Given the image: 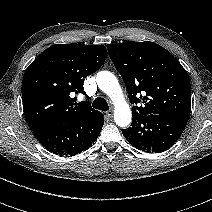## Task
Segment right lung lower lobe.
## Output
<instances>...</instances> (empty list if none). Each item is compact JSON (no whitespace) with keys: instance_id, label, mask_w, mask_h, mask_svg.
Returning <instances> with one entry per match:
<instances>
[{"instance_id":"obj_1","label":"right lung lower lobe","mask_w":212,"mask_h":212,"mask_svg":"<svg viewBox=\"0 0 212 212\" xmlns=\"http://www.w3.org/2000/svg\"><path fill=\"white\" fill-rule=\"evenodd\" d=\"M102 113L94 118H78L66 123H49L33 130L36 139L50 152L72 156L87 150L100 134Z\"/></svg>"}]
</instances>
